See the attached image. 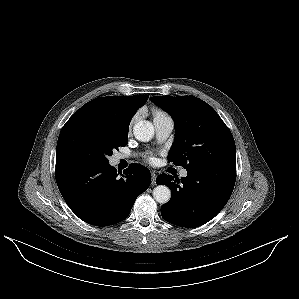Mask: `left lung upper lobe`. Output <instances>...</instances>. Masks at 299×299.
Masks as SVG:
<instances>
[{"mask_svg":"<svg viewBox=\"0 0 299 299\" xmlns=\"http://www.w3.org/2000/svg\"><path fill=\"white\" fill-rule=\"evenodd\" d=\"M151 100L175 123L169 162L188 170L205 162L236 160L233 136L209 104L194 96H153Z\"/></svg>","mask_w":299,"mask_h":299,"instance_id":"obj_1","label":"left lung upper lobe"}]
</instances>
